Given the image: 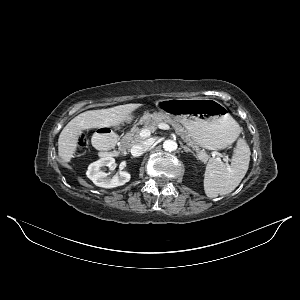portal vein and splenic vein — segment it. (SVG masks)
I'll return each instance as SVG.
<instances>
[{"label":"portal vein and splenic vein","instance_id":"1","mask_svg":"<svg viewBox=\"0 0 300 300\" xmlns=\"http://www.w3.org/2000/svg\"><path fill=\"white\" fill-rule=\"evenodd\" d=\"M158 128L163 129V130H169L170 126L166 123H159L158 124ZM150 130L149 129H142V131L140 132V136L144 139L149 138L150 137Z\"/></svg>","mask_w":300,"mask_h":300}]
</instances>
